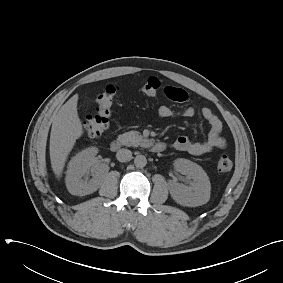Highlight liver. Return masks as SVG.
Returning <instances> with one entry per match:
<instances>
[{
    "label": "liver",
    "instance_id": "1",
    "mask_svg": "<svg viewBox=\"0 0 283 283\" xmlns=\"http://www.w3.org/2000/svg\"><path fill=\"white\" fill-rule=\"evenodd\" d=\"M77 102L76 94L53 117L49 150L51 167L57 178L61 177L67 157L76 140L83 134Z\"/></svg>",
    "mask_w": 283,
    "mask_h": 283
}]
</instances>
